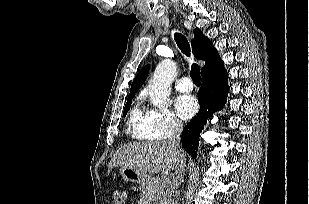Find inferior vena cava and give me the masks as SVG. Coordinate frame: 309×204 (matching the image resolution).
<instances>
[{
	"label": "inferior vena cava",
	"instance_id": "inferior-vena-cava-1",
	"mask_svg": "<svg viewBox=\"0 0 309 204\" xmlns=\"http://www.w3.org/2000/svg\"><path fill=\"white\" fill-rule=\"evenodd\" d=\"M183 129V124L181 121H175L173 124L172 132L167 139V143L173 148L177 154V163L175 168V175L172 182L165 194L164 204H174L172 200V195L177 190L180 183L183 181L185 175L186 161L184 152L179 148L180 135Z\"/></svg>",
	"mask_w": 309,
	"mask_h": 204
}]
</instances>
